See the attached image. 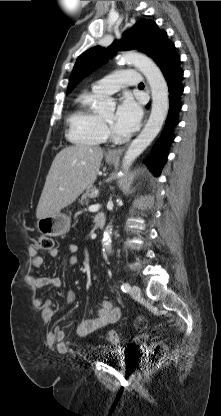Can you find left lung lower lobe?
I'll use <instances>...</instances> for the list:
<instances>
[{
	"instance_id": "1",
	"label": "left lung lower lobe",
	"mask_w": 221,
	"mask_h": 416,
	"mask_svg": "<svg viewBox=\"0 0 221 416\" xmlns=\"http://www.w3.org/2000/svg\"><path fill=\"white\" fill-rule=\"evenodd\" d=\"M150 57L159 66L168 83L170 101L164 130L153 153L146 160V164L153 170L154 175L158 176L167 160L168 148L174 140L173 130L179 123L178 113L182 107L180 96L183 93L181 85L183 71L179 67L180 57L176 54L174 44L167 39L166 33L161 36Z\"/></svg>"
}]
</instances>
